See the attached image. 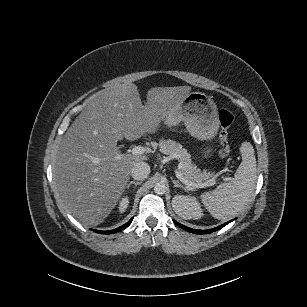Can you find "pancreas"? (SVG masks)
Returning a JSON list of instances; mask_svg holds the SVG:
<instances>
[{
    "label": "pancreas",
    "mask_w": 307,
    "mask_h": 307,
    "mask_svg": "<svg viewBox=\"0 0 307 307\" xmlns=\"http://www.w3.org/2000/svg\"><path fill=\"white\" fill-rule=\"evenodd\" d=\"M159 148L160 152L163 154L178 156V160L182 164V169L180 171L185 179L202 183L203 181H207L209 178H216L214 173L207 172L206 170L201 171L196 165L192 164L191 155L186 149L182 148L180 143H177L171 139H161L159 142Z\"/></svg>",
    "instance_id": "pancreas-1"
}]
</instances>
